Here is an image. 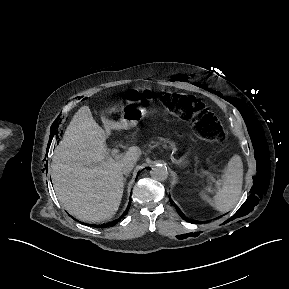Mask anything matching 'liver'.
Instances as JSON below:
<instances>
[{
	"instance_id": "liver-1",
	"label": "liver",
	"mask_w": 289,
	"mask_h": 289,
	"mask_svg": "<svg viewBox=\"0 0 289 289\" xmlns=\"http://www.w3.org/2000/svg\"><path fill=\"white\" fill-rule=\"evenodd\" d=\"M106 132L120 130L119 123L102 116ZM106 133L88 106L73 116L52 159V183L65 210L81 221L101 222L117 212L124 189L120 165L136 161L141 150L130 147L117 159H108Z\"/></svg>"
}]
</instances>
